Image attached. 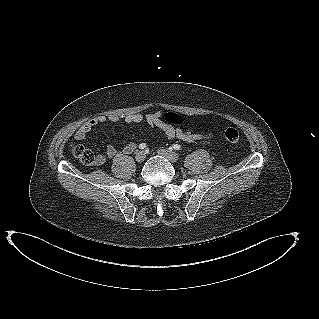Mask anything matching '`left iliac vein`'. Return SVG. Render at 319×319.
<instances>
[{
	"mask_svg": "<svg viewBox=\"0 0 319 319\" xmlns=\"http://www.w3.org/2000/svg\"><path fill=\"white\" fill-rule=\"evenodd\" d=\"M158 153L171 162H177L179 160V155L173 151L167 149H160L158 150Z\"/></svg>",
	"mask_w": 319,
	"mask_h": 319,
	"instance_id": "4c4485c4",
	"label": "left iliac vein"
}]
</instances>
